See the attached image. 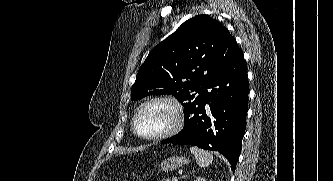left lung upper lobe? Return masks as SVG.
Wrapping results in <instances>:
<instances>
[{
    "instance_id": "1",
    "label": "left lung upper lobe",
    "mask_w": 333,
    "mask_h": 181,
    "mask_svg": "<svg viewBox=\"0 0 333 181\" xmlns=\"http://www.w3.org/2000/svg\"><path fill=\"white\" fill-rule=\"evenodd\" d=\"M239 50L220 22L204 14L195 16L149 53L133 84L131 100L172 94L187 113L199 103L209 80Z\"/></svg>"
}]
</instances>
